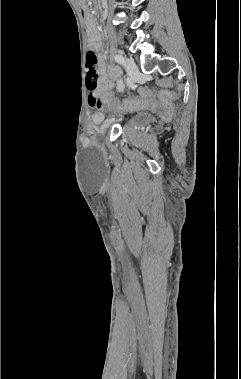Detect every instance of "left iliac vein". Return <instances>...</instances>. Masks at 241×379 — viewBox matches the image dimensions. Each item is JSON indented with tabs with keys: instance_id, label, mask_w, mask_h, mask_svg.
Segmentation results:
<instances>
[{
	"instance_id": "1",
	"label": "left iliac vein",
	"mask_w": 241,
	"mask_h": 379,
	"mask_svg": "<svg viewBox=\"0 0 241 379\" xmlns=\"http://www.w3.org/2000/svg\"><path fill=\"white\" fill-rule=\"evenodd\" d=\"M124 64H125L126 71H127L128 75L130 76V78L133 81L136 80L139 76V69H138L137 65L135 64V62L130 58H126ZM110 124H111V121L106 120L102 124V126L100 127L99 133L104 134L106 132L107 128L110 126Z\"/></svg>"
}]
</instances>
